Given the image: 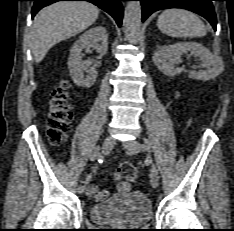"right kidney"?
I'll return each instance as SVG.
<instances>
[{
    "label": "right kidney",
    "mask_w": 234,
    "mask_h": 231,
    "mask_svg": "<svg viewBox=\"0 0 234 231\" xmlns=\"http://www.w3.org/2000/svg\"><path fill=\"white\" fill-rule=\"evenodd\" d=\"M108 36L104 27L98 26L83 33L74 43L70 50L68 68L73 82L79 87H91L97 78V71L90 67L87 61H83V50L88 52L90 48L95 49L100 56L107 53ZM86 73V75H85Z\"/></svg>",
    "instance_id": "obj_1"
}]
</instances>
